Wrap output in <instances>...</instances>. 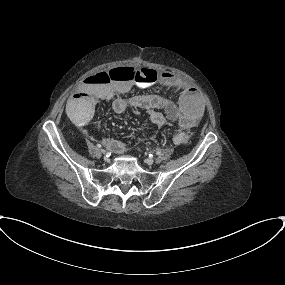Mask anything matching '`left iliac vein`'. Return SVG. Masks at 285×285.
Instances as JSON below:
<instances>
[{"label":"left iliac vein","instance_id":"4c4485c4","mask_svg":"<svg viewBox=\"0 0 285 285\" xmlns=\"http://www.w3.org/2000/svg\"><path fill=\"white\" fill-rule=\"evenodd\" d=\"M146 163H147L148 165H152V164L154 163V160H153L152 158H147V159H146Z\"/></svg>","mask_w":285,"mask_h":285}]
</instances>
